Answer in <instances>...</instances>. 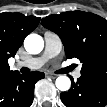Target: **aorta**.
Here are the masks:
<instances>
[{
    "instance_id": "obj_1",
    "label": "aorta",
    "mask_w": 107,
    "mask_h": 107,
    "mask_svg": "<svg viewBox=\"0 0 107 107\" xmlns=\"http://www.w3.org/2000/svg\"><path fill=\"white\" fill-rule=\"evenodd\" d=\"M24 47L30 54H38L43 50L44 40L38 34H29L24 40ZM56 87L60 91H68L71 87V81L67 76H59L56 79Z\"/></svg>"
}]
</instances>
